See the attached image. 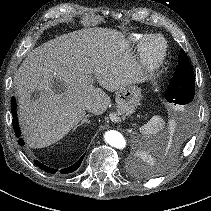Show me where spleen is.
I'll use <instances>...</instances> for the list:
<instances>
[{
    "label": "spleen",
    "instance_id": "3e777b00",
    "mask_svg": "<svg viewBox=\"0 0 211 211\" xmlns=\"http://www.w3.org/2000/svg\"><path fill=\"white\" fill-rule=\"evenodd\" d=\"M165 126V121L161 116H153L146 124L140 127V132L146 135H154Z\"/></svg>",
    "mask_w": 211,
    "mask_h": 211
}]
</instances>
